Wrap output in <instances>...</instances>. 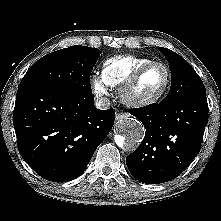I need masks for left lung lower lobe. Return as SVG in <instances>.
Instances as JSON below:
<instances>
[{
  "mask_svg": "<svg viewBox=\"0 0 221 221\" xmlns=\"http://www.w3.org/2000/svg\"><path fill=\"white\" fill-rule=\"evenodd\" d=\"M146 128L145 139L126 157L138 181L158 184L180 175L199 153L208 122L206 96H192L176 103L129 109Z\"/></svg>",
  "mask_w": 221,
  "mask_h": 221,
  "instance_id": "0a47b994",
  "label": "left lung lower lobe"
}]
</instances>
